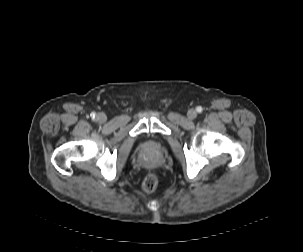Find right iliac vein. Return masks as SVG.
I'll use <instances>...</instances> for the list:
<instances>
[{
  "label": "right iliac vein",
  "mask_w": 303,
  "mask_h": 252,
  "mask_svg": "<svg viewBox=\"0 0 303 252\" xmlns=\"http://www.w3.org/2000/svg\"><path fill=\"white\" fill-rule=\"evenodd\" d=\"M96 119L99 123H104L106 122L107 120V117L104 113H99L97 116H96Z\"/></svg>",
  "instance_id": "63e3f726"
}]
</instances>
